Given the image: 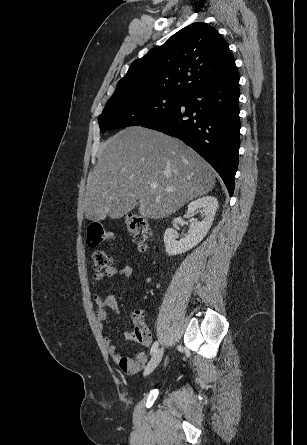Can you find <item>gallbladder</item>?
<instances>
[{
  "label": "gallbladder",
  "mask_w": 307,
  "mask_h": 445,
  "mask_svg": "<svg viewBox=\"0 0 307 445\" xmlns=\"http://www.w3.org/2000/svg\"><path fill=\"white\" fill-rule=\"evenodd\" d=\"M139 208V203L137 198L132 196L124 195L122 196L119 203L115 204L113 211L109 212L108 216L113 219L126 218L129 212L134 211V209Z\"/></svg>",
  "instance_id": "bac80fb5"
}]
</instances>
